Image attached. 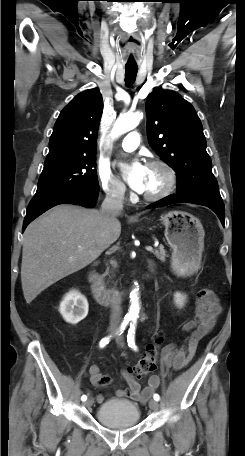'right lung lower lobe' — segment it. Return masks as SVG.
I'll list each match as a JSON object with an SVG mask.
<instances>
[{
  "label": "right lung lower lobe",
  "instance_id": "right-lung-lower-lobe-1",
  "mask_svg": "<svg viewBox=\"0 0 245 456\" xmlns=\"http://www.w3.org/2000/svg\"><path fill=\"white\" fill-rule=\"evenodd\" d=\"M98 196V190L74 191L59 193L56 195L32 199L27 208V214L23 223V230L39 215L58 204H76L87 208L93 207Z\"/></svg>",
  "mask_w": 245,
  "mask_h": 456
}]
</instances>
